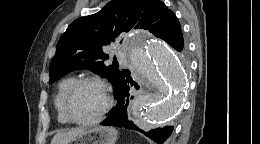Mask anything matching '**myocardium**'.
Segmentation results:
<instances>
[{"instance_id":"1","label":"myocardium","mask_w":260,"mask_h":144,"mask_svg":"<svg viewBox=\"0 0 260 144\" xmlns=\"http://www.w3.org/2000/svg\"><path fill=\"white\" fill-rule=\"evenodd\" d=\"M85 83H91L100 88L104 97V105L100 110V112L95 117L90 119H76L75 117H73V115L69 110V102L76 89L80 85ZM111 105H112V100L107 85L102 80L96 77H83V78L76 79L66 91L62 102V109L65 117L69 122L78 125H90L99 122L107 113V111L110 109Z\"/></svg>"}]
</instances>
